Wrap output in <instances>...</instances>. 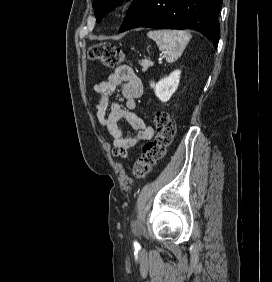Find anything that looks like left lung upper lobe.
<instances>
[{"label": "left lung upper lobe", "mask_w": 272, "mask_h": 282, "mask_svg": "<svg viewBox=\"0 0 272 282\" xmlns=\"http://www.w3.org/2000/svg\"><path fill=\"white\" fill-rule=\"evenodd\" d=\"M123 1L125 0H94L93 8L97 21L99 22L106 14L116 8Z\"/></svg>", "instance_id": "left-lung-upper-lobe-1"}]
</instances>
